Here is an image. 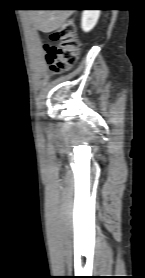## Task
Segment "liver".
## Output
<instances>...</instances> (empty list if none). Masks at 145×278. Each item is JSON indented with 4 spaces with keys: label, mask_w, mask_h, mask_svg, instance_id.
<instances>
[{
    "label": "liver",
    "mask_w": 145,
    "mask_h": 278,
    "mask_svg": "<svg viewBox=\"0 0 145 278\" xmlns=\"http://www.w3.org/2000/svg\"><path fill=\"white\" fill-rule=\"evenodd\" d=\"M74 13V10H29L28 15L30 17L33 26L44 32L50 33L62 25H64L67 18Z\"/></svg>",
    "instance_id": "6515ba94"
}]
</instances>
